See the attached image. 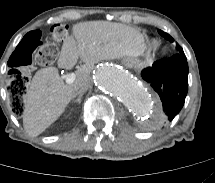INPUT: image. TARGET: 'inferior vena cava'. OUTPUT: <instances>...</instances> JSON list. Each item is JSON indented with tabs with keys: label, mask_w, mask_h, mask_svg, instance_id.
Wrapping results in <instances>:
<instances>
[{
	"label": "inferior vena cava",
	"mask_w": 215,
	"mask_h": 183,
	"mask_svg": "<svg viewBox=\"0 0 215 183\" xmlns=\"http://www.w3.org/2000/svg\"><path fill=\"white\" fill-rule=\"evenodd\" d=\"M92 86L90 79H82L74 84V92L76 94H81L87 91Z\"/></svg>",
	"instance_id": "602c4592"
}]
</instances>
